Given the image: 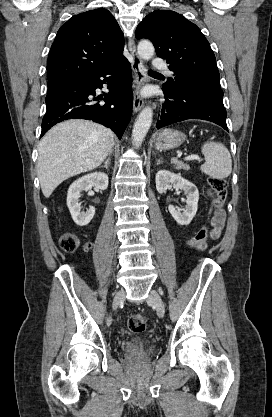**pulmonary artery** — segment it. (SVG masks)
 Segmentation results:
<instances>
[{
	"label": "pulmonary artery",
	"instance_id": "obj_1",
	"mask_svg": "<svg viewBox=\"0 0 272 417\" xmlns=\"http://www.w3.org/2000/svg\"><path fill=\"white\" fill-rule=\"evenodd\" d=\"M153 66L156 69H166L167 68L166 63L159 58H156V59L153 60Z\"/></svg>",
	"mask_w": 272,
	"mask_h": 417
}]
</instances>
